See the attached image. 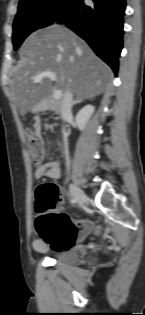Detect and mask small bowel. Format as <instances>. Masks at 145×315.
<instances>
[{"mask_svg":"<svg viewBox=\"0 0 145 315\" xmlns=\"http://www.w3.org/2000/svg\"><path fill=\"white\" fill-rule=\"evenodd\" d=\"M34 126L37 132L40 131L41 123L38 119L34 120ZM35 178L37 180L43 179V178H51V179H57L60 177V163L59 162H48L39 168L36 169ZM63 208V200L62 204L58 205V210H62ZM33 248L37 252H46L48 250L47 244L43 242L40 238L35 239L33 241Z\"/></svg>","mask_w":145,"mask_h":315,"instance_id":"obj_1","label":"small bowel"}]
</instances>
